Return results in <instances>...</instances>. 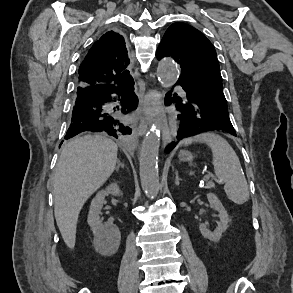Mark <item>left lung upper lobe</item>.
I'll use <instances>...</instances> for the list:
<instances>
[{"label":"left lung upper lobe","instance_id":"obj_1","mask_svg":"<svg viewBox=\"0 0 293 293\" xmlns=\"http://www.w3.org/2000/svg\"><path fill=\"white\" fill-rule=\"evenodd\" d=\"M156 54L158 59L171 56L181 65L177 84L185 91L227 108L215 48L199 30L181 22L172 24Z\"/></svg>","mask_w":293,"mask_h":293}]
</instances>
